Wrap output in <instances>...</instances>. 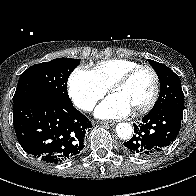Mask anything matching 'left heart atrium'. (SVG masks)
<instances>
[{
    "mask_svg": "<svg viewBox=\"0 0 196 196\" xmlns=\"http://www.w3.org/2000/svg\"><path fill=\"white\" fill-rule=\"evenodd\" d=\"M131 111L125 102L110 95L96 108L95 115L101 119H116L129 115Z\"/></svg>",
    "mask_w": 196,
    "mask_h": 196,
    "instance_id": "1",
    "label": "left heart atrium"
}]
</instances>
